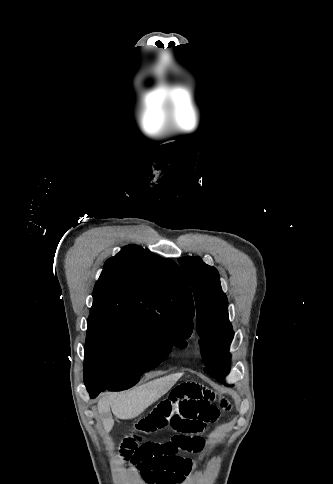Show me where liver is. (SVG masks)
<instances>
[{
  "mask_svg": "<svg viewBox=\"0 0 333 484\" xmlns=\"http://www.w3.org/2000/svg\"><path fill=\"white\" fill-rule=\"evenodd\" d=\"M181 376L182 373L170 374L126 392L103 395L98 402V411L108 414V418L103 420L105 431L108 433L114 425L110 408L119 419H134L165 395Z\"/></svg>",
  "mask_w": 333,
  "mask_h": 484,
  "instance_id": "1",
  "label": "liver"
}]
</instances>
